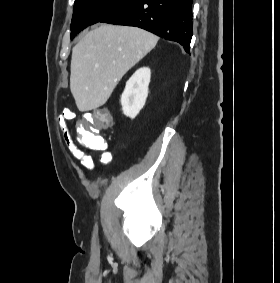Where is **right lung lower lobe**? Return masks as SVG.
Returning <instances> with one entry per match:
<instances>
[{
	"label": "right lung lower lobe",
	"mask_w": 280,
	"mask_h": 283,
	"mask_svg": "<svg viewBox=\"0 0 280 283\" xmlns=\"http://www.w3.org/2000/svg\"><path fill=\"white\" fill-rule=\"evenodd\" d=\"M193 0H132L101 22L135 26L180 43L187 53L193 34Z\"/></svg>",
	"instance_id": "right-lung-lower-lobe-1"
}]
</instances>
